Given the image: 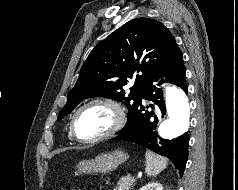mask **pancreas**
Wrapping results in <instances>:
<instances>
[{
  "mask_svg": "<svg viewBox=\"0 0 238 190\" xmlns=\"http://www.w3.org/2000/svg\"><path fill=\"white\" fill-rule=\"evenodd\" d=\"M134 181L135 180L129 176L122 177L113 190H130Z\"/></svg>",
  "mask_w": 238,
  "mask_h": 190,
  "instance_id": "pancreas-1",
  "label": "pancreas"
}]
</instances>
